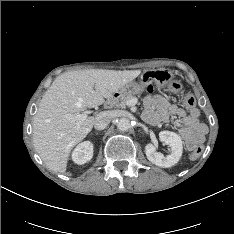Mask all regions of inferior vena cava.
Segmentation results:
<instances>
[{
    "instance_id": "602c4592",
    "label": "inferior vena cava",
    "mask_w": 234,
    "mask_h": 234,
    "mask_svg": "<svg viewBox=\"0 0 234 234\" xmlns=\"http://www.w3.org/2000/svg\"><path fill=\"white\" fill-rule=\"evenodd\" d=\"M111 115L107 112H101L95 117L94 128L96 130L105 129L111 121Z\"/></svg>"
}]
</instances>
